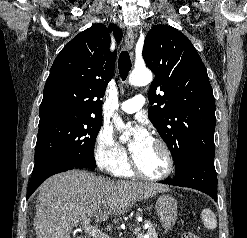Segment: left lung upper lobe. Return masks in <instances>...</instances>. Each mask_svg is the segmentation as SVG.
Listing matches in <instances>:
<instances>
[{
	"label": "left lung upper lobe",
	"instance_id": "obj_1",
	"mask_svg": "<svg viewBox=\"0 0 247 238\" xmlns=\"http://www.w3.org/2000/svg\"><path fill=\"white\" fill-rule=\"evenodd\" d=\"M143 58L155 73L148 92V117L175 162L214 161L215 100L206 68L195 47L177 29L156 25L146 35Z\"/></svg>",
	"mask_w": 247,
	"mask_h": 238
}]
</instances>
